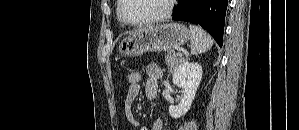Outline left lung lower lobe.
Instances as JSON below:
<instances>
[{
    "instance_id": "0a47b994",
    "label": "left lung lower lobe",
    "mask_w": 299,
    "mask_h": 130,
    "mask_svg": "<svg viewBox=\"0 0 299 130\" xmlns=\"http://www.w3.org/2000/svg\"><path fill=\"white\" fill-rule=\"evenodd\" d=\"M227 5L228 0H178L172 19L201 25L221 47Z\"/></svg>"
}]
</instances>
